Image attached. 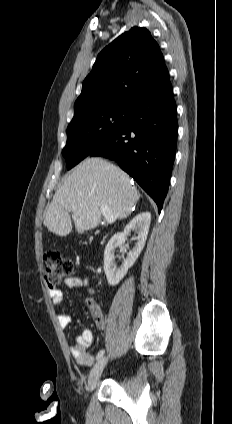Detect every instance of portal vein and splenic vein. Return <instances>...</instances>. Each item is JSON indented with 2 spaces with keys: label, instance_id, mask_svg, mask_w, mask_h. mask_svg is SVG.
<instances>
[{
  "label": "portal vein and splenic vein",
  "instance_id": "portal-vein-and-splenic-vein-1",
  "mask_svg": "<svg viewBox=\"0 0 232 424\" xmlns=\"http://www.w3.org/2000/svg\"><path fill=\"white\" fill-rule=\"evenodd\" d=\"M101 213L104 215L106 222L111 224L115 221L114 215L110 212V209L107 205H101L100 207Z\"/></svg>",
  "mask_w": 232,
  "mask_h": 424
}]
</instances>
